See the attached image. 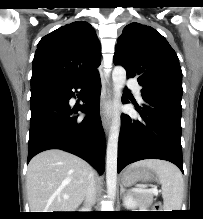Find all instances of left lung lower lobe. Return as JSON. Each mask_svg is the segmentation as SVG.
I'll return each instance as SVG.
<instances>
[{"instance_id": "left-lung-lower-lobe-1", "label": "left lung lower lobe", "mask_w": 203, "mask_h": 219, "mask_svg": "<svg viewBox=\"0 0 203 219\" xmlns=\"http://www.w3.org/2000/svg\"><path fill=\"white\" fill-rule=\"evenodd\" d=\"M141 94L144 100L142 107L130 100L142 120L121 115L117 172L128 164L143 159L167 160L183 172L181 96L162 92ZM122 102L129 103L125 95Z\"/></svg>"}]
</instances>
